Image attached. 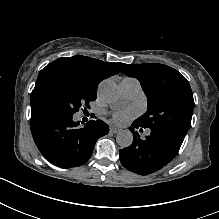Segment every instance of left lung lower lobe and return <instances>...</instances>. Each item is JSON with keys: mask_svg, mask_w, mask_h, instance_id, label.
Returning <instances> with one entry per match:
<instances>
[{"mask_svg": "<svg viewBox=\"0 0 219 219\" xmlns=\"http://www.w3.org/2000/svg\"><path fill=\"white\" fill-rule=\"evenodd\" d=\"M138 129L143 132L145 128L134 121L131 125L133 143L121 149L119 154L121 164L139 175L151 174L167 165L175 158L184 140L174 133L153 129H148L150 135L141 139Z\"/></svg>", "mask_w": 219, "mask_h": 219, "instance_id": "obj_1", "label": "left lung lower lobe"}]
</instances>
